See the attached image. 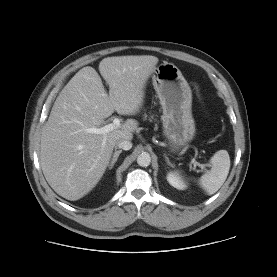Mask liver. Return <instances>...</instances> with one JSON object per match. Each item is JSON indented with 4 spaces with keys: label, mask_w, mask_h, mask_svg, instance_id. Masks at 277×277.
Wrapping results in <instances>:
<instances>
[{
    "label": "liver",
    "mask_w": 277,
    "mask_h": 277,
    "mask_svg": "<svg viewBox=\"0 0 277 277\" xmlns=\"http://www.w3.org/2000/svg\"><path fill=\"white\" fill-rule=\"evenodd\" d=\"M158 61L150 55L107 57L100 62L99 71L109 85V94L90 66L80 69L62 89L40 143L41 169L58 195L70 201L85 196L105 173L116 143L132 140L138 127L134 119L106 134L86 129L100 128L114 111L134 115Z\"/></svg>",
    "instance_id": "obj_1"
}]
</instances>
